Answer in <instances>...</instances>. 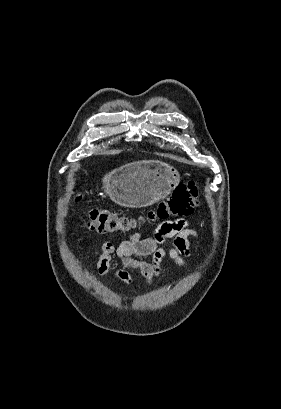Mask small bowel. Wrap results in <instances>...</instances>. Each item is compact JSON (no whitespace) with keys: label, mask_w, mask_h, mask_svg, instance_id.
Wrapping results in <instances>:
<instances>
[{"label":"small bowel","mask_w":281,"mask_h":409,"mask_svg":"<svg viewBox=\"0 0 281 409\" xmlns=\"http://www.w3.org/2000/svg\"><path fill=\"white\" fill-rule=\"evenodd\" d=\"M196 232L185 219L162 222L150 237H142L134 233L115 244L106 241L98 254L97 271L100 275L109 272L112 256L116 255L123 265V269L114 272L113 277L127 284L133 281L129 270L138 271L151 284L161 272V263L168 257L177 265L185 266V257L190 253L189 238ZM171 242L166 248L163 244ZM150 256V261H143L137 257Z\"/></svg>","instance_id":"obj_1"}]
</instances>
